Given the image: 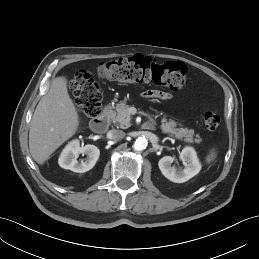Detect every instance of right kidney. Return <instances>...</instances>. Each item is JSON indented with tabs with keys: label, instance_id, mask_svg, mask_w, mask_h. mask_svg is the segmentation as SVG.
Returning <instances> with one entry per match:
<instances>
[{
	"label": "right kidney",
	"instance_id": "ca27d5eb",
	"mask_svg": "<svg viewBox=\"0 0 259 259\" xmlns=\"http://www.w3.org/2000/svg\"><path fill=\"white\" fill-rule=\"evenodd\" d=\"M79 154L87 157L78 162ZM100 155L99 149L94 145H85L80 147L78 140L71 141L62 151L58 163L60 167L69 169L73 172L84 173L94 167Z\"/></svg>",
	"mask_w": 259,
	"mask_h": 259
}]
</instances>
